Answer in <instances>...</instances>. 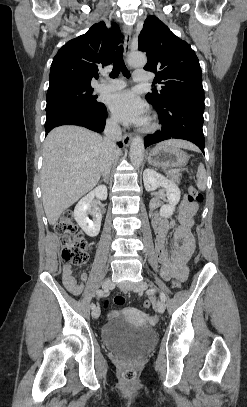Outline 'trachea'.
<instances>
[{"label": "trachea", "instance_id": "trachea-1", "mask_svg": "<svg viewBox=\"0 0 247 407\" xmlns=\"http://www.w3.org/2000/svg\"><path fill=\"white\" fill-rule=\"evenodd\" d=\"M120 72H122V74L126 78H130V72L126 68V65L123 60V45H120L116 51V58H115V61L113 64V70L110 73V77L117 78L119 76Z\"/></svg>", "mask_w": 247, "mask_h": 407}]
</instances>
